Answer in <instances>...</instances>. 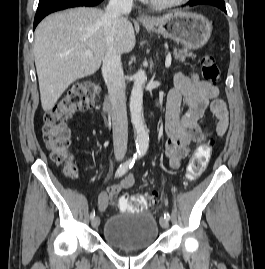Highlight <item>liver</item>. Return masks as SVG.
Listing matches in <instances>:
<instances>
[{
	"instance_id": "obj_1",
	"label": "liver",
	"mask_w": 265,
	"mask_h": 269,
	"mask_svg": "<svg viewBox=\"0 0 265 269\" xmlns=\"http://www.w3.org/2000/svg\"><path fill=\"white\" fill-rule=\"evenodd\" d=\"M104 15L100 9L79 7L51 14L37 26L34 58L44 111L51 110L73 82L100 68L108 48ZM135 43L132 23L121 17L115 33L116 51L129 53Z\"/></svg>"
}]
</instances>
